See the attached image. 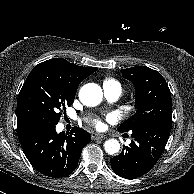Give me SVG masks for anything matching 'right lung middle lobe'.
Instances as JSON below:
<instances>
[{
	"label": "right lung middle lobe",
	"mask_w": 194,
	"mask_h": 194,
	"mask_svg": "<svg viewBox=\"0 0 194 194\" xmlns=\"http://www.w3.org/2000/svg\"><path fill=\"white\" fill-rule=\"evenodd\" d=\"M75 92L47 69H33L18 96L17 119L27 124L56 125L72 105Z\"/></svg>",
	"instance_id": "1"
}]
</instances>
